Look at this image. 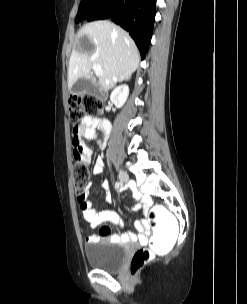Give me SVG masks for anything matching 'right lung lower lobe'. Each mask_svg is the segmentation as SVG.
Segmentation results:
<instances>
[{
	"label": "right lung lower lobe",
	"instance_id": "obj_1",
	"mask_svg": "<svg viewBox=\"0 0 247 304\" xmlns=\"http://www.w3.org/2000/svg\"><path fill=\"white\" fill-rule=\"evenodd\" d=\"M156 0H104L87 21L111 18L134 39L144 59L152 36Z\"/></svg>",
	"mask_w": 247,
	"mask_h": 304
}]
</instances>
